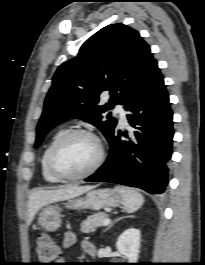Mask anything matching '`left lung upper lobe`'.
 Wrapping results in <instances>:
<instances>
[{"mask_svg": "<svg viewBox=\"0 0 205 265\" xmlns=\"http://www.w3.org/2000/svg\"><path fill=\"white\" fill-rule=\"evenodd\" d=\"M150 46L138 31L124 24L108 25L91 36L77 57L59 66L46 96L37 125L35 148L48 131L69 118L95 125L109 140L117 120L102 113L115 104H125L156 64ZM110 94L99 103V95Z\"/></svg>", "mask_w": 205, "mask_h": 265, "instance_id": "left-lung-upper-lobe-1", "label": "left lung upper lobe"}]
</instances>
